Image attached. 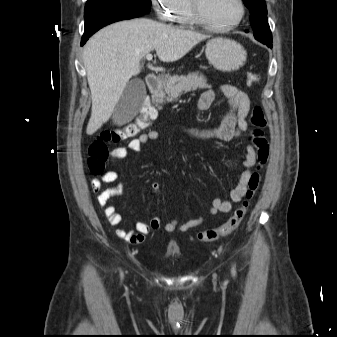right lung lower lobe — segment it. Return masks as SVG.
<instances>
[{
	"instance_id": "1",
	"label": "right lung lower lobe",
	"mask_w": 337,
	"mask_h": 337,
	"mask_svg": "<svg viewBox=\"0 0 337 337\" xmlns=\"http://www.w3.org/2000/svg\"><path fill=\"white\" fill-rule=\"evenodd\" d=\"M145 12L134 11L124 8H110L93 13L85 18L84 34L81 40V46L89 37L102 27L116 21L140 17Z\"/></svg>"
}]
</instances>
